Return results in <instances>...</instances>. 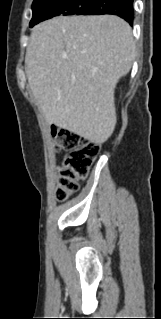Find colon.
Instances as JSON below:
<instances>
[{"mask_svg": "<svg viewBox=\"0 0 161 319\" xmlns=\"http://www.w3.org/2000/svg\"><path fill=\"white\" fill-rule=\"evenodd\" d=\"M52 136L56 148L67 153L58 168L56 191L57 199L64 201L79 189L80 182L88 176L90 165L98 155L99 144L58 127L52 129Z\"/></svg>", "mask_w": 161, "mask_h": 319, "instance_id": "colon-1", "label": "colon"}]
</instances>
